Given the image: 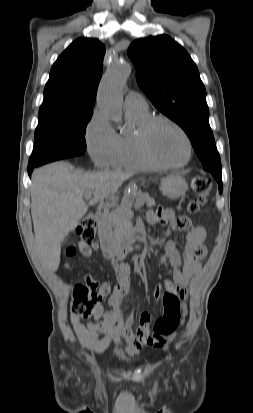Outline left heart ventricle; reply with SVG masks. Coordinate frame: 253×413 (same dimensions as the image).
<instances>
[{
	"label": "left heart ventricle",
	"mask_w": 253,
	"mask_h": 413,
	"mask_svg": "<svg viewBox=\"0 0 253 413\" xmlns=\"http://www.w3.org/2000/svg\"><path fill=\"white\" fill-rule=\"evenodd\" d=\"M149 145L154 156L164 163H180L187 155L186 143L182 135L164 122L152 128Z\"/></svg>",
	"instance_id": "left-heart-ventricle-1"
}]
</instances>
